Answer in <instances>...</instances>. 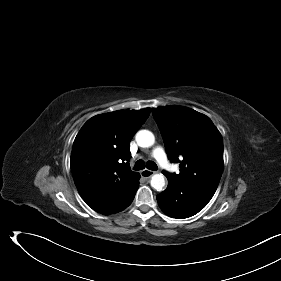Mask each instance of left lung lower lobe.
Listing matches in <instances>:
<instances>
[{
    "mask_svg": "<svg viewBox=\"0 0 281 281\" xmlns=\"http://www.w3.org/2000/svg\"><path fill=\"white\" fill-rule=\"evenodd\" d=\"M214 193L193 183L168 179V187L157 195V201L165 214L172 218H188L201 211Z\"/></svg>",
    "mask_w": 281,
    "mask_h": 281,
    "instance_id": "0a47b994",
    "label": "left lung lower lobe"
}]
</instances>
